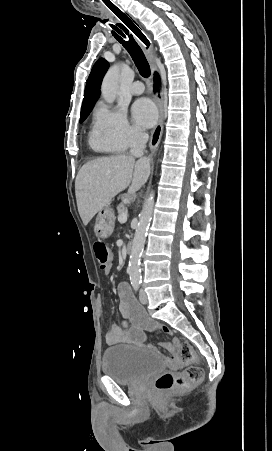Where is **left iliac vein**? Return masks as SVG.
Here are the masks:
<instances>
[{
  "mask_svg": "<svg viewBox=\"0 0 272 451\" xmlns=\"http://www.w3.org/2000/svg\"><path fill=\"white\" fill-rule=\"evenodd\" d=\"M139 299H140V302L143 304L148 302L147 295H146V292L144 289H141V291L139 293Z\"/></svg>",
  "mask_w": 272,
  "mask_h": 451,
  "instance_id": "1",
  "label": "left iliac vein"
}]
</instances>
